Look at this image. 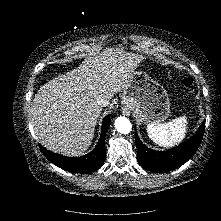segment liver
I'll return each mask as SVG.
<instances>
[{
	"instance_id": "6515ba94",
	"label": "liver",
	"mask_w": 221,
	"mask_h": 221,
	"mask_svg": "<svg viewBox=\"0 0 221 221\" xmlns=\"http://www.w3.org/2000/svg\"><path fill=\"white\" fill-rule=\"evenodd\" d=\"M143 59L139 54L108 48L41 86L32 101L30 117L43 146L66 156L84 154L104 107L96 100L109 102L122 91Z\"/></svg>"
}]
</instances>
